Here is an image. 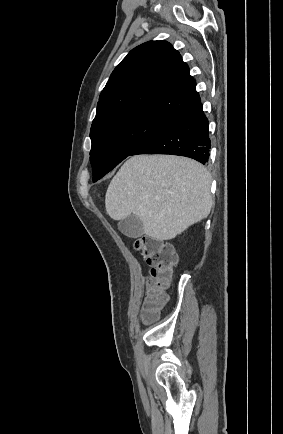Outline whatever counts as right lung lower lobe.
Wrapping results in <instances>:
<instances>
[{"instance_id":"right-lung-lower-lobe-1","label":"right lung lower lobe","mask_w":283,"mask_h":434,"mask_svg":"<svg viewBox=\"0 0 283 434\" xmlns=\"http://www.w3.org/2000/svg\"><path fill=\"white\" fill-rule=\"evenodd\" d=\"M201 102L171 119L162 129L141 144L131 155L172 154L208 161L211 141L209 123Z\"/></svg>"}]
</instances>
